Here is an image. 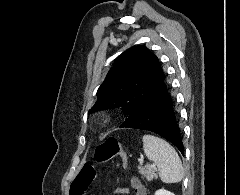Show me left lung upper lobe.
Returning a JSON list of instances; mask_svg holds the SVG:
<instances>
[{"label":"left lung upper lobe","instance_id":"obj_1","mask_svg":"<svg viewBox=\"0 0 240 195\" xmlns=\"http://www.w3.org/2000/svg\"><path fill=\"white\" fill-rule=\"evenodd\" d=\"M165 77L159 59L146 46L132 47L115 60L89 113L121 107L125 116L121 127L164 85Z\"/></svg>","mask_w":240,"mask_h":195}]
</instances>
